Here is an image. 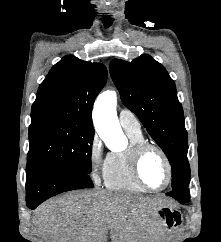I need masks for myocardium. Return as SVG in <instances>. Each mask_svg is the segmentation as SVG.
I'll return each mask as SVG.
<instances>
[{"label":"myocardium","instance_id":"obj_1","mask_svg":"<svg viewBox=\"0 0 221 242\" xmlns=\"http://www.w3.org/2000/svg\"><path fill=\"white\" fill-rule=\"evenodd\" d=\"M155 150L157 151L163 158L166 168H167V180L166 183L160 187V188H153L149 186L143 179L141 175V163L144 158V156L150 151ZM130 167L131 172L134 177V179L137 181L139 185H141L144 189L153 191V192H159L165 190L171 183L173 178V167L170 161V158L168 157L167 153L157 144L150 143V142H142L139 144L134 145L131 148L130 152Z\"/></svg>","mask_w":221,"mask_h":242}]
</instances>
